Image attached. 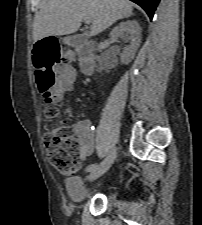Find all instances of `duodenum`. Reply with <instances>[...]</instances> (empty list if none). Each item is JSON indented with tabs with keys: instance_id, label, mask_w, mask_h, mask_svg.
<instances>
[{
	"instance_id": "410a0bca",
	"label": "duodenum",
	"mask_w": 202,
	"mask_h": 225,
	"mask_svg": "<svg viewBox=\"0 0 202 225\" xmlns=\"http://www.w3.org/2000/svg\"><path fill=\"white\" fill-rule=\"evenodd\" d=\"M78 57L81 72L91 75L96 69L95 44L93 42H83L78 49Z\"/></svg>"
}]
</instances>
